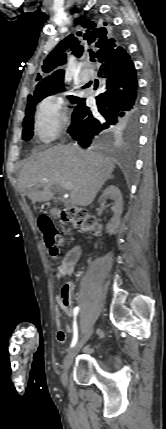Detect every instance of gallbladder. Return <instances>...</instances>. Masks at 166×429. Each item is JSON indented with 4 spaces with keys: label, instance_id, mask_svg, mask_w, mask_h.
Wrapping results in <instances>:
<instances>
[{
    "label": "gallbladder",
    "instance_id": "gallbladder-1",
    "mask_svg": "<svg viewBox=\"0 0 166 429\" xmlns=\"http://www.w3.org/2000/svg\"><path fill=\"white\" fill-rule=\"evenodd\" d=\"M63 202H64V204L66 205V206H69L70 204H69V202H67L66 200H62Z\"/></svg>",
    "mask_w": 166,
    "mask_h": 429
}]
</instances>
